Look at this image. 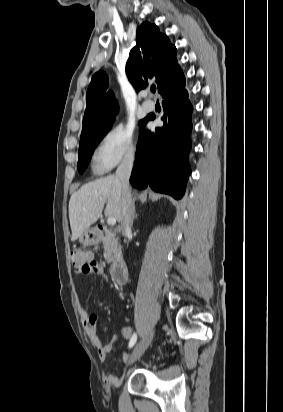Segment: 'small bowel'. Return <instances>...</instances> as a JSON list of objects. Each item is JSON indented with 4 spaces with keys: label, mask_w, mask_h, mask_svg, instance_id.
Wrapping results in <instances>:
<instances>
[{
    "label": "small bowel",
    "mask_w": 283,
    "mask_h": 412,
    "mask_svg": "<svg viewBox=\"0 0 283 412\" xmlns=\"http://www.w3.org/2000/svg\"><path fill=\"white\" fill-rule=\"evenodd\" d=\"M90 275L105 277V272L103 267L99 266L98 272ZM80 316L84 325L85 332L89 336L93 346L97 349L101 361H106L108 359V355L117 341H119L120 339H129L133 336L132 328L130 326H126L123 328L121 336H117L113 338L111 341L103 344L96 332V325L98 322L97 315L95 313L82 309L80 311ZM124 358L125 360H129V358L126 356ZM103 380L109 385H119L122 380V377L112 374H103Z\"/></svg>",
    "instance_id": "c3829d8e"
}]
</instances>
